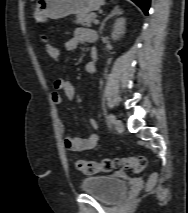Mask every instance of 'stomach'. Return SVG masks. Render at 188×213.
<instances>
[{"label":"stomach","instance_id":"1","mask_svg":"<svg viewBox=\"0 0 188 213\" xmlns=\"http://www.w3.org/2000/svg\"><path fill=\"white\" fill-rule=\"evenodd\" d=\"M103 0H37L33 17L37 23L60 19L71 14H88L98 10Z\"/></svg>","mask_w":188,"mask_h":213}]
</instances>
